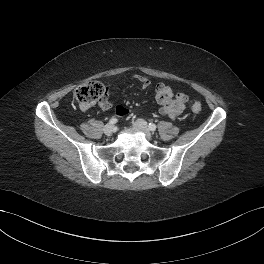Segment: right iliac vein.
<instances>
[{
  "mask_svg": "<svg viewBox=\"0 0 264 264\" xmlns=\"http://www.w3.org/2000/svg\"><path fill=\"white\" fill-rule=\"evenodd\" d=\"M104 133L107 135V136H110L113 134L114 132V126L112 124H107L105 125L104 127Z\"/></svg>",
  "mask_w": 264,
  "mask_h": 264,
  "instance_id": "right-iliac-vein-1",
  "label": "right iliac vein"
}]
</instances>
